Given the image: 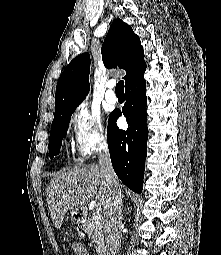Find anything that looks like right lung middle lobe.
I'll return each instance as SVG.
<instances>
[{
    "label": "right lung middle lobe",
    "instance_id": "obj_1",
    "mask_svg": "<svg viewBox=\"0 0 221 255\" xmlns=\"http://www.w3.org/2000/svg\"><path fill=\"white\" fill-rule=\"evenodd\" d=\"M73 111L58 115L55 119V127L50 132L49 155L53 158L59 154L63 137L66 135Z\"/></svg>",
    "mask_w": 221,
    "mask_h": 255
}]
</instances>
